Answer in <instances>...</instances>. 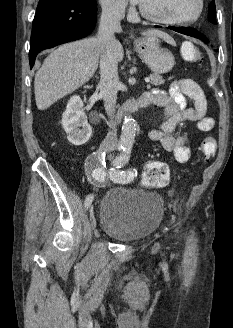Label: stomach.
<instances>
[{"mask_svg": "<svg viewBox=\"0 0 233 328\" xmlns=\"http://www.w3.org/2000/svg\"><path fill=\"white\" fill-rule=\"evenodd\" d=\"M134 44L140 57L155 73H167L175 65L174 56L170 51L161 47L156 36L136 39Z\"/></svg>", "mask_w": 233, "mask_h": 328, "instance_id": "obj_1", "label": "stomach"}]
</instances>
